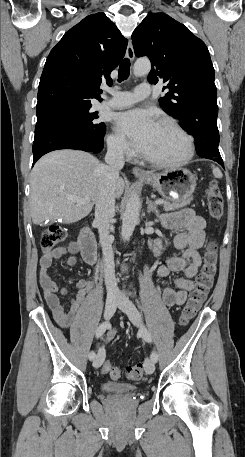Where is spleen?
I'll return each mask as SVG.
<instances>
[{
  "label": "spleen",
  "mask_w": 245,
  "mask_h": 457,
  "mask_svg": "<svg viewBox=\"0 0 245 457\" xmlns=\"http://www.w3.org/2000/svg\"><path fill=\"white\" fill-rule=\"evenodd\" d=\"M212 172L216 178H222L223 176L220 168H218V166H214V164H212Z\"/></svg>",
  "instance_id": "1"
}]
</instances>
